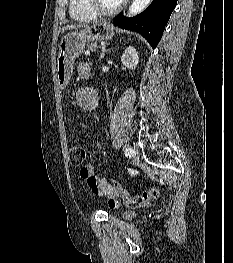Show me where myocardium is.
<instances>
[{"instance_id": "obj_1", "label": "myocardium", "mask_w": 233, "mask_h": 263, "mask_svg": "<svg viewBox=\"0 0 233 263\" xmlns=\"http://www.w3.org/2000/svg\"><path fill=\"white\" fill-rule=\"evenodd\" d=\"M126 0H122L116 7L112 9H103L101 8L97 0H86V4L88 8L96 15V16H112L117 14L125 5Z\"/></svg>"}]
</instances>
